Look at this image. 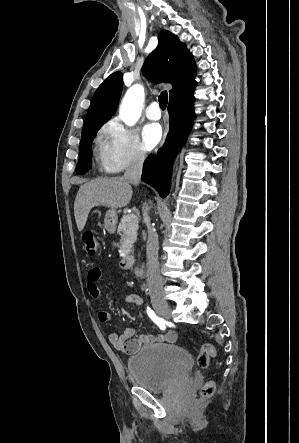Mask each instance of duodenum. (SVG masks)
Wrapping results in <instances>:
<instances>
[{"label": "duodenum", "mask_w": 299, "mask_h": 443, "mask_svg": "<svg viewBox=\"0 0 299 443\" xmlns=\"http://www.w3.org/2000/svg\"><path fill=\"white\" fill-rule=\"evenodd\" d=\"M135 262V257L133 255H126L120 258L119 266L121 269H130Z\"/></svg>", "instance_id": "410a0bca"}]
</instances>
